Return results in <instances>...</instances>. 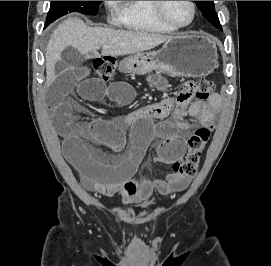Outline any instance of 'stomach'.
I'll use <instances>...</instances> for the list:
<instances>
[{
  "label": "stomach",
  "mask_w": 271,
  "mask_h": 266,
  "mask_svg": "<svg viewBox=\"0 0 271 266\" xmlns=\"http://www.w3.org/2000/svg\"><path fill=\"white\" fill-rule=\"evenodd\" d=\"M217 47L205 34H182L167 40L154 52H139L125 58L126 72L146 74L152 70L171 76L201 77L217 68Z\"/></svg>",
  "instance_id": "1"
}]
</instances>
